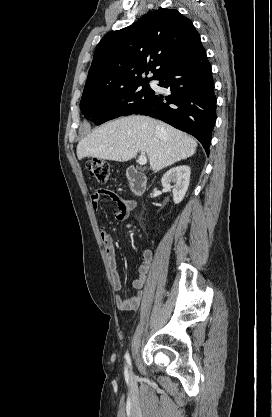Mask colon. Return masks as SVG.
Segmentation results:
<instances>
[{"mask_svg": "<svg viewBox=\"0 0 272 417\" xmlns=\"http://www.w3.org/2000/svg\"><path fill=\"white\" fill-rule=\"evenodd\" d=\"M89 174L100 183H106L110 179L109 164L98 158L90 159L86 163Z\"/></svg>", "mask_w": 272, "mask_h": 417, "instance_id": "1", "label": "colon"}]
</instances>
